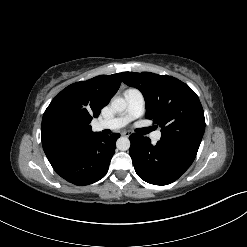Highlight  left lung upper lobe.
Returning <instances> with one entry per match:
<instances>
[{
  "label": "left lung upper lobe",
  "instance_id": "1",
  "mask_svg": "<svg viewBox=\"0 0 247 247\" xmlns=\"http://www.w3.org/2000/svg\"><path fill=\"white\" fill-rule=\"evenodd\" d=\"M125 84L139 89L146 103L147 119L161 129V140L194 154L205 130L203 108L195 92L180 80L150 72H122Z\"/></svg>",
  "mask_w": 247,
  "mask_h": 247
}]
</instances>
